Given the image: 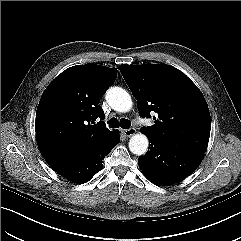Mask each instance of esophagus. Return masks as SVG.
I'll list each match as a JSON object with an SVG mask.
<instances>
[{
	"mask_svg": "<svg viewBox=\"0 0 241 241\" xmlns=\"http://www.w3.org/2000/svg\"><path fill=\"white\" fill-rule=\"evenodd\" d=\"M123 133L126 137H130L136 133V129L135 128L126 129V130H123Z\"/></svg>",
	"mask_w": 241,
	"mask_h": 241,
	"instance_id": "34e87169",
	"label": "esophagus"
}]
</instances>
